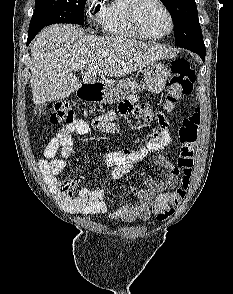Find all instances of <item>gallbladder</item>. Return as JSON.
<instances>
[{
    "label": "gallbladder",
    "mask_w": 233,
    "mask_h": 294,
    "mask_svg": "<svg viewBox=\"0 0 233 294\" xmlns=\"http://www.w3.org/2000/svg\"><path fill=\"white\" fill-rule=\"evenodd\" d=\"M47 104H41L38 107H36V112H41L44 109V106H46Z\"/></svg>",
    "instance_id": "bac80fb5"
}]
</instances>
